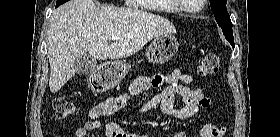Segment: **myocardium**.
Instances as JSON below:
<instances>
[{
	"label": "myocardium",
	"mask_w": 280,
	"mask_h": 137,
	"mask_svg": "<svg viewBox=\"0 0 280 137\" xmlns=\"http://www.w3.org/2000/svg\"><path fill=\"white\" fill-rule=\"evenodd\" d=\"M199 2H200V6H202L204 0H199ZM177 7L184 8V6H182V5H178ZM185 10L190 13H198L200 11V8H197V9L185 8Z\"/></svg>",
	"instance_id": "f54148a6"
}]
</instances>
